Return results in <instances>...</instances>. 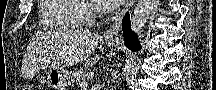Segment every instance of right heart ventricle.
<instances>
[{
	"label": "right heart ventricle",
	"mask_w": 216,
	"mask_h": 90,
	"mask_svg": "<svg viewBox=\"0 0 216 90\" xmlns=\"http://www.w3.org/2000/svg\"><path fill=\"white\" fill-rule=\"evenodd\" d=\"M42 2L44 7L39 8L40 15H38L42 28H87L84 19L72 17L80 14L75 11H82L81 4H77V0H42Z\"/></svg>",
	"instance_id": "e07e8e85"
}]
</instances>
